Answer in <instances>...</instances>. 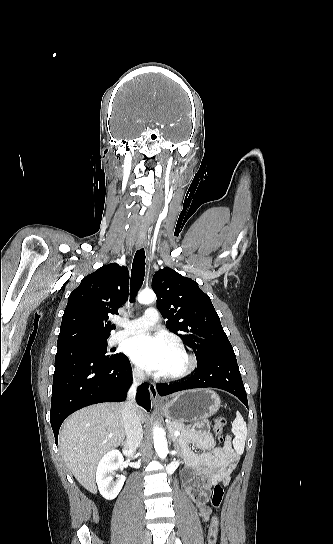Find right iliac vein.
<instances>
[{"instance_id": "right-iliac-vein-1", "label": "right iliac vein", "mask_w": 333, "mask_h": 544, "mask_svg": "<svg viewBox=\"0 0 333 544\" xmlns=\"http://www.w3.org/2000/svg\"><path fill=\"white\" fill-rule=\"evenodd\" d=\"M151 542V534L145 533L142 539V544H150Z\"/></svg>"}]
</instances>
